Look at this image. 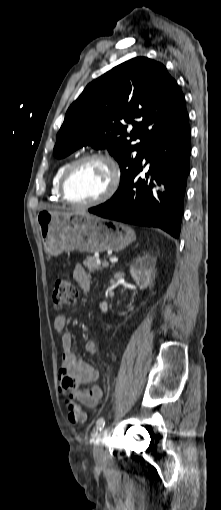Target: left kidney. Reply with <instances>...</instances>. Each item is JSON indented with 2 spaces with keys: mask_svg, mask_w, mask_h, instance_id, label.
<instances>
[{
  "mask_svg": "<svg viewBox=\"0 0 221 510\" xmlns=\"http://www.w3.org/2000/svg\"><path fill=\"white\" fill-rule=\"evenodd\" d=\"M156 264V258L146 254L136 259L130 266V274L140 289H145L151 280L152 273ZM103 313L107 312L106 302L99 305ZM129 310H133V306H129ZM121 315H125V312Z\"/></svg>",
  "mask_w": 221,
  "mask_h": 510,
  "instance_id": "obj_1",
  "label": "left kidney"
}]
</instances>
